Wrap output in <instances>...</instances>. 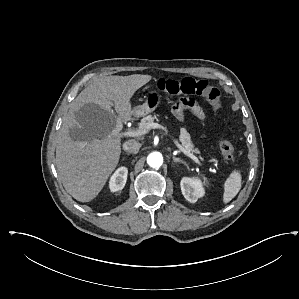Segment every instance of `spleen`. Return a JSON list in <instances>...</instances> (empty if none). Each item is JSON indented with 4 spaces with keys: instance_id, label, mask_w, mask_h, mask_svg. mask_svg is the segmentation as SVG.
Listing matches in <instances>:
<instances>
[{
    "instance_id": "3e777b00",
    "label": "spleen",
    "mask_w": 299,
    "mask_h": 299,
    "mask_svg": "<svg viewBox=\"0 0 299 299\" xmlns=\"http://www.w3.org/2000/svg\"><path fill=\"white\" fill-rule=\"evenodd\" d=\"M241 173L238 170H234L227 178L224 184L223 203H229L241 189Z\"/></svg>"
}]
</instances>
